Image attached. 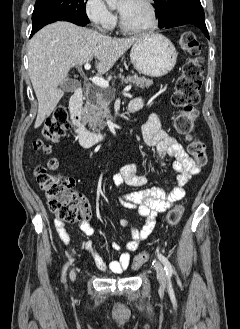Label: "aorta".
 <instances>
[{"label":"aorta","instance_id":"obj_1","mask_svg":"<svg viewBox=\"0 0 240 329\" xmlns=\"http://www.w3.org/2000/svg\"><path fill=\"white\" fill-rule=\"evenodd\" d=\"M124 0H106L110 7H116L118 4L122 3Z\"/></svg>","mask_w":240,"mask_h":329}]
</instances>
